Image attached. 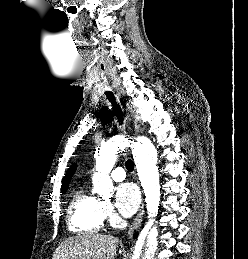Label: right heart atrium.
I'll return each instance as SVG.
<instances>
[{"instance_id": "right-heart-atrium-1", "label": "right heart atrium", "mask_w": 248, "mask_h": 259, "mask_svg": "<svg viewBox=\"0 0 248 259\" xmlns=\"http://www.w3.org/2000/svg\"><path fill=\"white\" fill-rule=\"evenodd\" d=\"M102 214H103L104 220H107L110 222L115 220V214H114L112 205L109 202H106V201L102 202Z\"/></svg>"}]
</instances>
